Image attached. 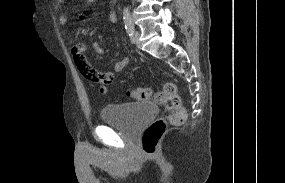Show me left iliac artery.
Here are the masks:
<instances>
[{
    "label": "left iliac artery",
    "mask_w": 285,
    "mask_h": 183,
    "mask_svg": "<svg viewBox=\"0 0 285 183\" xmlns=\"http://www.w3.org/2000/svg\"><path fill=\"white\" fill-rule=\"evenodd\" d=\"M123 19L125 23V29L127 33L129 34V36H131L132 33L134 32V24H133L130 11L128 8H124L123 10Z\"/></svg>",
    "instance_id": "44dca946"
}]
</instances>
